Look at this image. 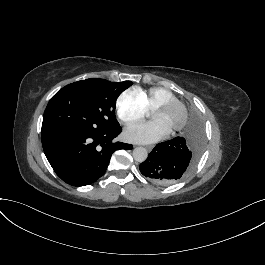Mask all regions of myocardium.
<instances>
[{"instance_id": "obj_1", "label": "myocardium", "mask_w": 265, "mask_h": 265, "mask_svg": "<svg viewBox=\"0 0 265 265\" xmlns=\"http://www.w3.org/2000/svg\"><path fill=\"white\" fill-rule=\"evenodd\" d=\"M173 105H177L180 107L181 115H180V118L177 120V122L174 123L170 127L169 132L181 130L185 126V124L187 122V118H188V110H187V107L185 106V104L183 102L175 99V98H172V99H166V100L159 102L152 109V112H155L158 110L166 109V108L173 106Z\"/></svg>"}]
</instances>
